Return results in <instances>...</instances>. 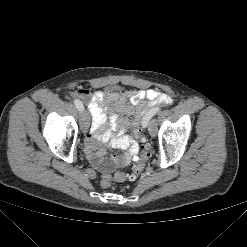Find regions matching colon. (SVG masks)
Segmentation results:
<instances>
[{
	"instance_id": "1",
	"label": "colon",
	"mask_w": 247,
	"mask_h": 247,
	"mask_svg": "<svg viewBox=\"0 0 247 247\" xmlns=\"http://www.w3.org/2000/svg\"><path fill=\"white\" fill-rule=\"evenodd\" d=\"M133 134L140 142V154L135 159V164L132 167V171L130 173H116L113 176L105 174L102 177V186L108 188L111 186L113 181L122 182L126 180H134L145 169L147 161L150 157V146L143 133V126L141 125V122L137 123L133 127Z\"/></svg>"
}]
</instances>
